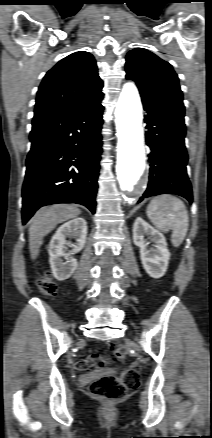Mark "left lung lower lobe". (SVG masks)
<instances>
[{
  "label": "left lung lower lobe",
  "mask_w": 212,
  "mask_h": 438,
  "mask_svg": "<svg viewBox=\"0 0 212 438\" xmlns=\"http://www.w3.org/2000/svg\"><path fill=\"white\" fill-rule=\"evenodd\" d=\"M146 142L150 147V174L147 190L140 198L177 194L192 203V188L187 176L188 156L184 144V111L142 99Z\"/></svg>",
  "instance_id": "obj_1"
}]
</instances>
